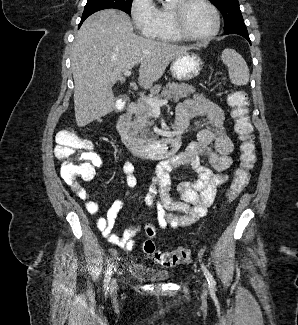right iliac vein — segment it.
Wrapping results in <instances>:
<instances>
[{"label": "right iliac vein", "mask_w": 298, "mask_h": 325, "mask_svg": "<svg viewBox=\"0 0 298 325\" xmlns=\"http://www.w3.org/2000/svg\"><path fill=\"white\" fill-rule=\"evenodd\" d=\"M110 289L112 292H114L117 289V283L116 280H113L110 286Z\"/></svg>", "instance_id": "right-iliac-vein-1"}]
</instances>
